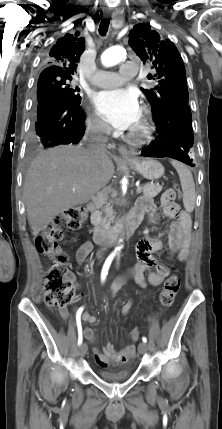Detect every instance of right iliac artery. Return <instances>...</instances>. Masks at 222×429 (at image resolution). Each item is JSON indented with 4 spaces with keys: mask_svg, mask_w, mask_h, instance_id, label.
Masks as SVG:
<instances>
[{
    "mask_svg": "<svg viewBox=\"0 0 222 429\" xmlns=\"http://www.w3.org/2000/svg\"><path fill=\"white\" fill-rule=\"evenodd\" d=\"M114 254H111L106 259L102 271H101V281L104 282L106 279V276L108 274L109 267L113 261ZM84 310V307H80L76 313V322H77V329H78V345H80L83 341V335H82V326H81V314Z\"/></svg>",
    "mask_w": 222,
    "mask_h": 429,
    "instance_id": "82829eb1",
    "label": "right iliac artery"
}]
</instances>
